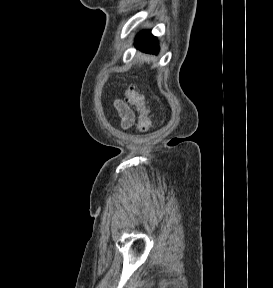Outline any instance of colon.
Segmentation results:
<instances>
[{"mask_svg":"<svg viewBox=\"0 0 273 288\" xmlns=\"http://www.w3.org/2000/svg\"><path fill=\"white\" fill-rule=\"evenodd\" d=\"M127 101L137 110V129L144 133L152 126V117L145 97L135 87L131 86L125 91Z\"/></svg>","mask_w":273,"mask_h":288,"instance_id":"obj_1","label":"colon"}]
</instances>
